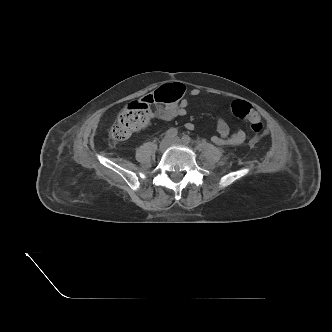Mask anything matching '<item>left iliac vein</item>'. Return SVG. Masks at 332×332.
Returning <instances> with one entry per match:
<instances>
[{"mask_svg": "<svg viewBox=\"0 0 332 332\" xmlns=\"http://www.w3.org/2000/svg\"><path fill=\"white\" fill-rule=\"evenodd\" d=\"M171 145H186L183 141H181L179 138H174L170 141Z\"/></svg>", "mask_w": 332, "mask_h": 332, "instance_id": "1", "label": "left iliac vein"}]
</instances>
